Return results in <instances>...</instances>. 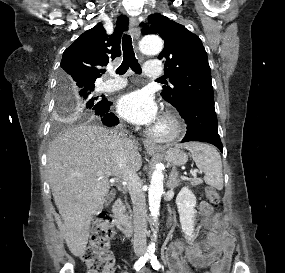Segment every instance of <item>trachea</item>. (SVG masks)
<instances>
[{
    "instance_id": "1",
    "label": "trachea",
    "mask_w": 285,
    "mask_h": 273,
    "mask_svg": "<svg viewBox=\"0 0 285 273\" xmlns=\"http://www.w3.org/2000/svg\"><path fill=\"white\" fill-rule=\"evenodd\" d=\"M123 61L117 68L116 73L123 75L130 67L136 74H141L142 70L138 60L135 57V53L132 46V39L130 35H125L122 40ZM163 80V79H158Z\"/></svg>"
}]
</instances>
